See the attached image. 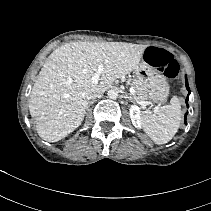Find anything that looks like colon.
<instances>
[{
	"label": "colon",
	"mask_w": 211,
	"mask_h": 211,
	"mask_svg": "<svg viewBox=\"0 0 211 211\" xmlns=\"http://www.w3.org/2000/svg\"><path fill=\"white\" fill-rule=\"evenodd\" d=\"M145 59L150 65L161 70L163 75L169 79H174L179 74L178 62L165 49L150 47L145 52Z\"/></svg>",
	"instance_id": "1"
}]
</instances>
